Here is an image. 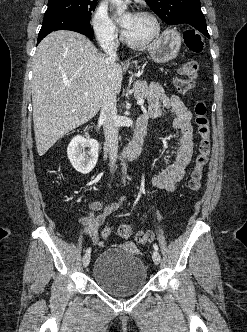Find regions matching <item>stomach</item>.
Segmentation results:
<instances>
[{
	"instance_id": "1",
	"label": "stomach",
	"mask_w": 247,
	"mask_h": 332,
	"mask_svg": "<svg viewBox=\"0 0 247 332\" xmlns=\"http://www.w3.org/2000/svg\"><path fill=\"white\" fill-rule=\"evenodd\" d=\"M180 46V34L175 29H168L149 46V54L153 61L165 63L177 57Z\"/></svg>"
}]
</instances>
